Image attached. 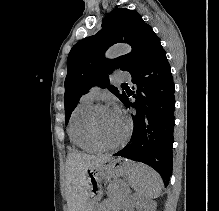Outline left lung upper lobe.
Wrapping results in <instances>:
<instances>
[{"label":"left lung upper lobe","instance_id":"1","mask_svg":"<svg viewBox=\"0 0 219 211\" xmlns=\"http://www.w3.org/2000/svg\"><path fill=\"white\" fill-rule=\"evenodd\" d=\"M116 43H128L132 51L115 59H105L107 48ZM162 50L160 39L137 12L118 8L109 13L102 29L76 43L69 53L64 95L66 124L80 97L95 85L107 87L122 100L125 92L121 94L117 87L109 85L108 74L121 69L132 75Z\"/></svg>","mask_w":219,"mask_h":211}]
</instances>
